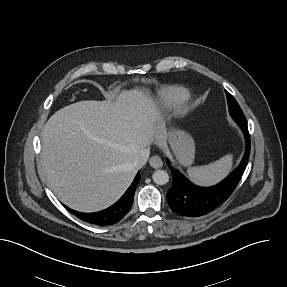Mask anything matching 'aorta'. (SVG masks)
<instances>
[{"label": "aorta", "mask_w": 287, "mask_h": 287, "mask_svg": "<svg viewBox=\"0 0 287 287\" xmlns=\"http://www.w3.org/2000/svg\"><path fill=\"white\" fill-rule=\"evenodd\" d=\"M153 181L158 185H165L169 182V175L164 170H156L152 175Z\"/></svg>", "instance_id": "aorta-1"}]
</instances>
